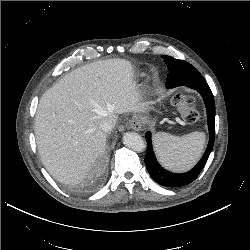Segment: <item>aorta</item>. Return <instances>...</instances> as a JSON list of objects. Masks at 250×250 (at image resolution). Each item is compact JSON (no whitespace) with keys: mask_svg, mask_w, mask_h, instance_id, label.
<instances>
[{"mask_svg":"<svg viewBox=\"0 0 250 250\" xmlns=\"http://www.w3.org/2000/svg\"><path fill=\"white\" fill-rule=\"evenodd\" d=\"M123 143L134 151H143L146 148V143L143 138L135 132H126L123 135Z\"/></svg>","mask_w":250,"mask_h":250,"instance_id":"762f6f07","label":"aorta"}]
</instances>
